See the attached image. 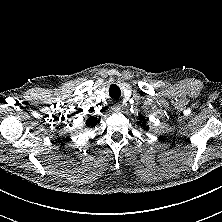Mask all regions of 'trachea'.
Here are the masks:
<instances>
[{
    "instance_id": "obj_1",
    "label": "trachea",
    "mask_w": 222,
    "mask_h": 222,
    "mask_svg": "<svg viewBox=\"0 0 222 222\" xmlns=\"http://www.w3.org/2000/svg\"><path fill=\"white\" fill-rule=\"evenodd\" d=\"M120 89L117 85H111L109 88V95L113 99H118L120 97Z\"/></svg>"
}]
</instances>
